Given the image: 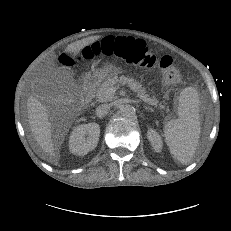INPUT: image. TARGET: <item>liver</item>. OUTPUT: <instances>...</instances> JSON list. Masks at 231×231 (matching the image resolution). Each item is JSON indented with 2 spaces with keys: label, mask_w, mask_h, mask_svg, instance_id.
<instances>
[{
  "label": "liver",
  "mask_w": 231,
  "mask_h": 231,
  "mask_svg": "<svg viewBox=\"0 0 231 231\" xmlns=\"http://www.w3.org/2000/svg\"><path fill=\"white\" fill-rule=\"evenodd\" d=\"M100 39V36H91L74 43H71L65 49V53L73 55L78 54L85 46L92 44ZM47 107L37 98L30 96L27 101V115L30 129L37 144L49 159L57 158L52 140L51 123Z\"/></svg>",
  "instance_id": "liver-1"
}]
</instances>
